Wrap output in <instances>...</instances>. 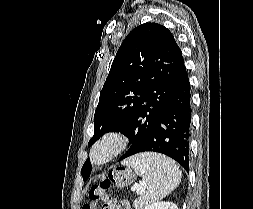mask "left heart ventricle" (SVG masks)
I'll list each match as a JSON object with an SVG mask.
<instances>
[{
    "label": "left heart ventricle",
    "instance_id": "1",
    "mask_svg": "<svg viewBox=\"0 0 253 209\" xmlns=\"http://www.w3.org/2000/svg\"><path fill=\"white\" fill-rule=\"evenodd\" d=\"M105 152H106V150L99 151L97 154V159H101L104 156Z\"/></svg>",
    "mask_w": 253,
    "mask_h": 209
}]
</instances>
